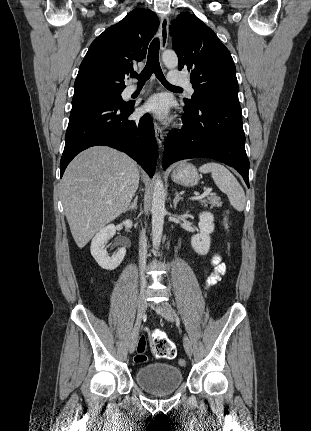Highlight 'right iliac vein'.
I'll return each instance as SVG.
<instances>
[{"instance_id": "1", "label": "right iliac vein", "mask_w": 311, "mask_h": 431, "mask_svg": "<svg viewBox=\"0 0 311 431\" xmlns=\"http://www.w3.org/2000/svg\"><path fill=\"white\" fill-rule=\"evenodd\" d=\"M147 309V301L146 296L143 294L139 297L138 303H137V320L135 327L131 333L130 340H129V352L133 353L138 339L139 334V327L142 320V317Z\"/></svg>"}]
</instances>
